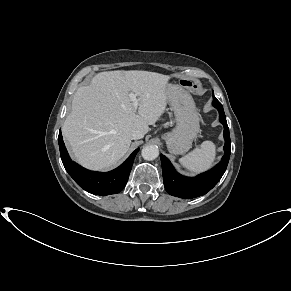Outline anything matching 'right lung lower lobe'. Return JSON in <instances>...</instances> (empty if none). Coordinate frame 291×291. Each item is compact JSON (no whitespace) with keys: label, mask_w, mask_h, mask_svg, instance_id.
Instances as JSON below:
<instances>
[{"label":"right lung lower lobe","mask_w":291,"mask_h":291,"mask_svg":"<svg viewBox=\"0 0 291 291\" xmlns=\"http://www.w3.org/2000/svg\"><path fill=\"white\" fill-rule=\"evenodd\" d=\"M58 142L61 159L68 174L81 188L96 195L116 194L123 190L127 183L134 158L139 151V149H136L118 168L110 172L101 173L89 171L70 159L61 131L58 136Z\"/></svg>","instance_id":"98d812e1"}]
</instances>
